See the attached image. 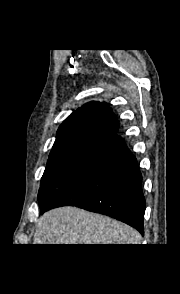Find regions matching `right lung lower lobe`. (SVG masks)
Here are the masks:
<instances>
[{
	"mask_svg": "<svg viewBox=\"0 0 180 294\" xmlns=\"http://www.w3.org/2000/svg\"><path fill=\"white\" fill-rule=\"evenodd\" d=\"M60 206L105 214L144 234L142 175L121 136L115 133L100 143L41 214Z\"/></svg>",
	"mask_w": 180,
	"mask_h": 294,
	"instance_id": "obj_1",
	"label": "right lung lower lobe"
}]
</instances>
